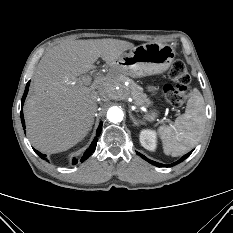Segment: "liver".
<instances>
[{
  "label": "liver",
  "instance_id": "liver-1",
  "mask_svg": "<svg viewBox=\"0 0 233 233\" xmlns=\"http://www.w3.org/2000/svg\"><path fill=\"white\" fill-rule=\"evenodd\" d=\"M133 43L118 39L66 40L41 58L24 104L31 144L41 152H63L91 130L97 98L106 96L111 80L97 77L91 86L78 78L95 68L98 58L113 65Z\"/></svg>",
  "mask_w": 233,
  "mask_h": 233
}]
</instances>
